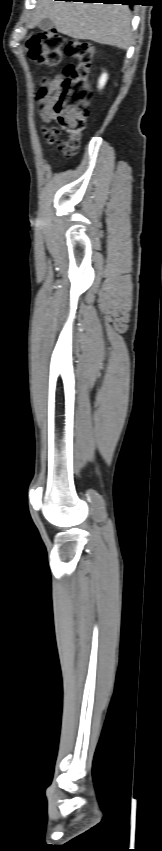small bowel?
<instances>
[{
    "instance_id": "c3829d8e",
    "label": "small bowel",
    "mask_w": 162,
    "mask_h": 851,
    "mask_svg": "<svg viewBox=\"0 0 162 851\" xmlns=\"http://www.w3.org/2000/svg\"><path fill=\"white\" fill-rule=\"evenodd\" d=\"M63 80L64 76L57 74L53 78H46L42 80L37 89L36 100L38 103L39 114L41 119L46 123H54L56 121L54 105L60 95ZM42 132L48 144H58L57 151L61 154L65 156H72L75 154L77 145H75L70 139L60 141V133L57 128L43 127Z\"/></svg>"
}]
</instances>
